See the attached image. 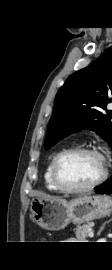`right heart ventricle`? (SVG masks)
I'll return each instance as SVG.
<instances>
[{"instance_id":"right-heart-ventricle-1","label":"right heart ventricle","mask_w":112,"mask_h":270,"mask_svg":"<svg viewBox=\"0 0 112 270\" xmlns=\"http://www.w3.org/2000/svg\"><path fill=\"white\" fill-rule=\"evenodd\" d=\"M61 151H57L55 152L51 158L49 159L47 165H46V168H45V171H44V183H45V186L46 188L51 191V192H61L53 183V180H52V175H51V171H52V164H53V161L55 159V157L60 153Z\"/></svg>"}]
</instances>
